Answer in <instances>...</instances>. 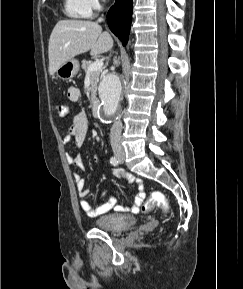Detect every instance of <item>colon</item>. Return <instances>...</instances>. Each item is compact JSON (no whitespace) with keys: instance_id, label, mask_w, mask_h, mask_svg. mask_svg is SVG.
I'll list each match as a JSON object with an SVG mask.
<instances>
[{"instance_id":"1","label":"colon","mask_w":243,"mask_h":289,"mask_svg":"<svg viewBox=\"0 0 243 289\" xmlns=\"http://www.w3.org/2000/svg\"><path fill=\"white\" fill-rule=\"evenodd\" d=\"M55 111L59 117H65L68 114L67 106L62 103L55 105ZM155 207H159L165 212L169 210V203L166 197L159 191L151 193L149 198L141 205V211L143 213H148Z\"/></svg>"}]
</instances>
